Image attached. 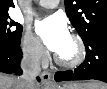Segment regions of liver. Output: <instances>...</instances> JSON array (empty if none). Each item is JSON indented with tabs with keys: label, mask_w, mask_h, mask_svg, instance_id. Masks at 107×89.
Wrapping results in <instances>:
<instances>
[{
	"label": "liver",
	"mask_w": 107,
	"mask_h": 89,
	"mask_svg": "<svg viewBox=\"0 0 107 89\" xmlns=\"http://www.w3.org/2000/svg\"><path fill=\"white\" fill-rule=\"evenodd\" d=\"M77 85L81 89H102V86H106L100 82H90L84 84H73ZM0 89H22L20 78L8 76L1 74L0 76ZM33 89H37V86L33 87Z\"/></svg>",
	"instance_id": "1"
}]
</instances>
